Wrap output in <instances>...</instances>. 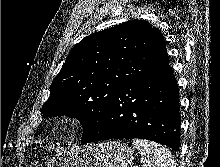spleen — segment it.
I'll return each mask as SVG.
<instances>
[{"label":"spleen","mask_w":220,"mask_h":167,"mask_svg":"<svg viewBox=\"0 0 220 167\" xmlns=\"http://www.w3.org/2000/svg\"><path fill=\"white\" fill-rule=\"evenodd\" d=\"M132 144L140 151L146 167H176L174 157L166 147L145 139H133Z\"/></svg>","instance_id":"3e777b00"}]
</instances>
